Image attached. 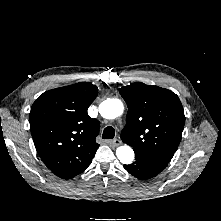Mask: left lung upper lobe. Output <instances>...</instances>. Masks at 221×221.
<instances>
[{
  "label": "left lung upper lobe",
  "mask_w": 221,
  "mask_h": 221,
  "mask_svg": "<svg viewBox=\"0 0 221 221\" xmlns=\"http://www.w3.org/2000/svg\"><path fill=\"white\" fill-rule=\"evenodd\" d=\"M120 94L128 106L122 141L131 145L134 152L170 161L185 124L178 96L141 82L122 87Z\"/></svg>",
  "instance_id": "5c2ea615"
}]
</instances>
